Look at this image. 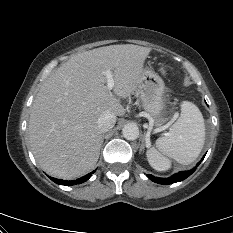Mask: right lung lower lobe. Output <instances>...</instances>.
<instances>
[{"mask_svg":"<svg viewBox=\"0 0 233 233\" xmlns=\"http://www.w3.org/2000/svg\"><path fill=\"white\" fill-rule=\"evenodd\" d=\"M92 173H94V171ZM90 177H91V173L77 179L76 181H65V180L56 179V178H51V180L59 185H73V184L83 183V182L87 181Z\"/></svg>","mask_w":233,"mask_h":233,"instance_id":"obj_1","label":"right lung lower lobe"}]
</instances>
